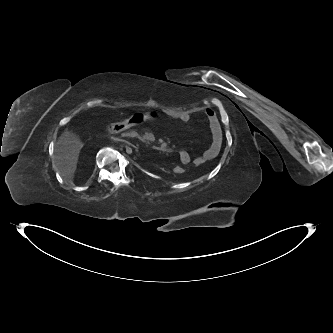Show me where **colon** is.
Returning <instances> with one entry per match:
<instances>
[{"mask_svg":"<svg viewBox=\"0 0 333 333\" xmlns=\"http://www.w3.org/2000/svg\"><path fill=\"white\" fill-rule=\"evenodd\" d=\"M162 118V113L159 110H152L143 113L129 114L121 121H117L107 127L109 133H114L123 130L124 128H131L134 124H144L152 121H159ZM172 171L177 173H187L188 167L184 165H173Z\"/></svg>","mask_w":333,"mask_h":333,"instance_id":"5ec220e1","label":"colon"}]
</instances>
